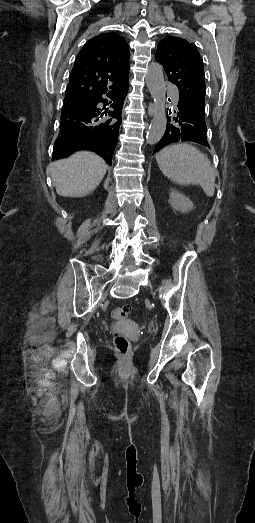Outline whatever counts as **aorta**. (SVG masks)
<instances>
[{"mask_svg": "<svg viewBox=\"0 0 255 523\" xmlns=\"http://www.w3.org/2000/svg\"><path fill=\"white\" fill-rule=\"evenodd\" d=\"M146 84L154 100L155 114L146 135V142L156 144L166 130L165 96L166 87L163 76V67L159 63H151L146 73Z\"/></svg>", "mask_w": 255, "mask_h": 523, "instance_id": "obj_1", "label": "aorta"}]
</instances>
